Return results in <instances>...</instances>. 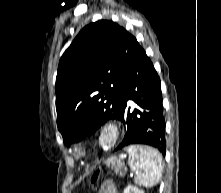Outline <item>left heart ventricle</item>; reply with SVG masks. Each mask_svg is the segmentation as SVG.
Instances as JSON below:
<instances>
[{"label": "left heart ventricle", "instance_id": "left-heart-ventricle-1", "mask_svg": "<svg viewBox=\"0 0 221 193\" xmlns=\"http://www.w3.org/2000/svg\"><path fill=\"white\" fill-rule=\"evenodd\" d=\"M110 141H111V138H110V136H108V135H106V136L103 138V143H104L105 145L109 144Z\"/></svg>", "mask_w": 221, "mask_h": 193}]
</instances>
